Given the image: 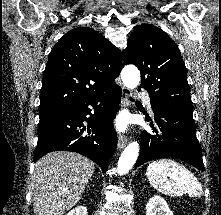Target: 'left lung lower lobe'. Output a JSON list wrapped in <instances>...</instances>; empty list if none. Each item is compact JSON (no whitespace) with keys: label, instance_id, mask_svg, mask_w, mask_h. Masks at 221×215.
Returning a JSON list of instances; mask_svg holds the SVG:
<instances>
[{"label":"left lung lower lobe","instance_id":"1","mask_svg":"<svg viewBox=\"0 0 221 215\" xmlns=\"http://www.w3.org/2000/svg\"><path fill=\"white\" fill-rule=\"evenodd\" d=\"M151 107L159 131L153 128L155 135L143 131L140 155L135 168L151 160L172 157L204 171L192 110L166 106L153 101Z\"/></svg>","mask_w":221,"mask_h":215}]
</instances>
